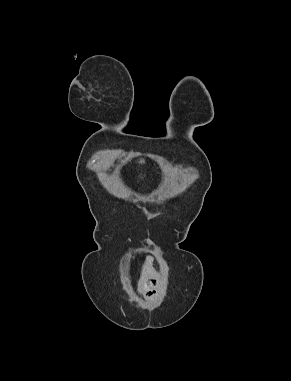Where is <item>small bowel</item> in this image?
I'll return each instance as SVG.
<instances>
[{
    "instance_id": "1",
    "label": "small bowel",
    "mask_w": 291,
    "mask_h": 381,
    "mask_svg": "<svg viewBox=\"0 0 291 381\" xmlns=\"http://www.w3.org/2000/svg\"><path fill=\"white\" fill-rule=\"evenodd\" d=\"M161 283V276L153 267V258L148 256L140 273L136 285L137 292L148 301L157 298Z\"/></svg>"
}]
</instances>
